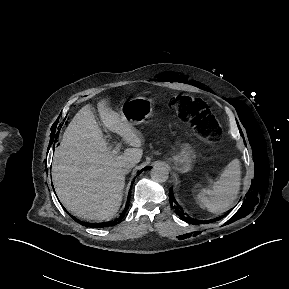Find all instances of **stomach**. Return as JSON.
Wrapping results in <instances>:
<instances>
[{
  "label": "stomach",
  "instance_id": "1",
  "mask_svg": "<svg viewBox=\"0 0 289 289\" xmlns=\"http://www.w3.org/2000/svg\"><path fill=\"white\" fill-rule=\"evenodd\" d=\"M153 108L154 102L152 99L138 96L123 104L120 114L133 126L147 119L152 114ZM172 161L180 172L191 170L195 161V154L191 146L185 142L180 143Z\"/></svg>",
  "mask_w": 289,
  "mask_h": 289
}]
</instances>
